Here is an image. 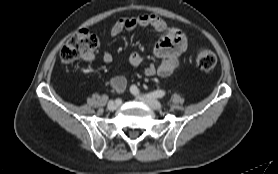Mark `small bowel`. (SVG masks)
<instances>
[{
  "label": "small bowel",
  "instance_id": "c3829d8e",
  "mask_svg": "<svg viewBox=\"0 0 278 174\" xmlns=\"http://www.w3.org/2000/svg\"><path fill=\"white\" fill-rule=\"evenodd\" d=\"M136 27H152L162 35L154 47V55L159 59V63L146 66L144 68L145 75L161 77L171 75L179 66L180 56L187 49L185 33L181 29L167 24L157 15L142 14L116 20L111 24L109 34L114 37L124 30H131ZM102 59L104 62L110 63L113 57L111 53L104 52ZM142 62L143 56L139 52H133L129 57V63L132 66H139ZM110 86L114 91L121 93L126 89L127 80L123 76H115L110 80Z\"/></svg>",
  "mask_w": 278,
  "mask_h": 174
}]
</instances>
